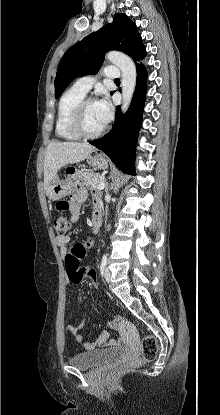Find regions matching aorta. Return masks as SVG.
I'll list each match as a JSON object with an SVG mask.
<instances>
[{
	"mask_svg": "<svg viewBox=\"0 0 220 415\" xmlns=\"http://www.w3.org/2000/svg\"><path fill=\"white\" fill-rule=\"evenodd\" d=\"M106 59L116 65L122 72L121 89H122V112L125 113L130 106L135 87L137 72L133 60L118 51H110L106 54Z\"/></svg>",
	"mask_w": 220,
	"mask_h": 415,
	"instance_id": "762f6f07",
	"label": "aorta"
}]
</instances>
